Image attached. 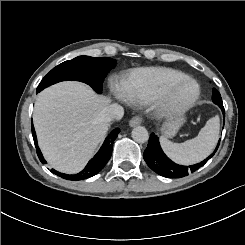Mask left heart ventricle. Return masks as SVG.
Wrapping results in <instances>:
<instances>
[{
    "label": "left heart ventricle",
    "instance_id": "left-heart-ventricle-1",
    "mask_svg": "<svg viewBox=\"0 0 245 245\" xmlns=\"http://www.w3.org/2000/svg\"><path fill=\"white\" fill-rule=\"evenodd\" d=\"M195 87L191 83H186L172 92V99L177 102H185L191 99L194 95Z\"/></svg>",
    "mask_w": 245,
    "mask_h": 245
}]
</instances>
